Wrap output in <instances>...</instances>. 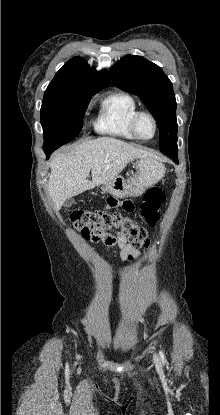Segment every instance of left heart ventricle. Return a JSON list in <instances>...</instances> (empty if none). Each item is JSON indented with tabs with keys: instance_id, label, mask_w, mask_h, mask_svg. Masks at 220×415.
I'll use <instances>...</instances> for the list:
<instances>
[{
	"instance_id": "obj_1",
	"label": "left heart ventricle",
	"mask_w": 220,
	"mask_h": 415,
	"mask_svg": "<svg viewBox=\"0 0 220 415\" xmlns=\"http://www.w3.org/2000/svg\"><path fill=\"white\" fill-rule=\"evenodd\" d=\"M137 130L141 137L151 138L154 134V124L148 116H141L137 122Z\"/></svg>"
}]
</instances>
